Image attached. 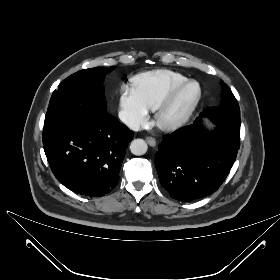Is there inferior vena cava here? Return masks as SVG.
Here are the masks:
<instances>
[{
	"mask_svg": "<svg viewBox=\"0 0 280 280\" xmlns=\"http://www.w3.org/2000/svg\"><path fill=\"white\" fill-rule=\"evenodd\" d=\"M120 120L133 131L140 130L139 121L130 113L121 110L118 114Z\"/></svg>",
	"mask_w": 280,
	"mask_h": 280,
	"instance_id": "1",
	"label": "inferior vena cava"
}]
</instances>
